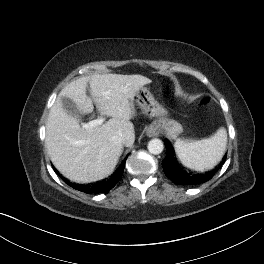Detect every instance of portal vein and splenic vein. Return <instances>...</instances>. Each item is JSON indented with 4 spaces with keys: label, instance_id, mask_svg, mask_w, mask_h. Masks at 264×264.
I'll return each mask as SVG.
<instances>
[{
    "label": "portal vein and splenic vein",
    "instance_id": "18ae733b",
    "mask_svg": "<svg viewBox=\"0 0 264 264\" xmlns=\"http://www.w3.org/2000/svg\"><path fill=\"white\" fill-rule=\"evenodd\" d=\"M104 122V118L103 117H99L98 119H95V120H91L89 121L88 123H85L83 125V128L85 129H91L93 127H96V126H99V125H102Z\"/></svg>",
    "mask_w": 264,
    "mask_h": 264
}]
</instances>
